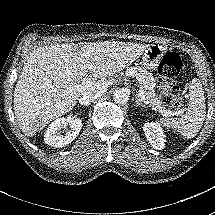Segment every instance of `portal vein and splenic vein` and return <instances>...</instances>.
Here are the masks:
<instances>
[{
    "label": "portal vein and splenic vein",
    "instance_id": "obj_1",
    "mask_svg": "<svg viewBox=\"0 0 215 215\" xmlns=\"http://www.w3.org/2000/svg\"><path fill=\"white\" fill-rule=\"evenodd\" d=\"M125 75H126V76H133V75H134V72H132V71H126ZM137 80L140 81V78L137 79ZM83 83H84V87H89V86L91 87V86H94V87H96L97 89H99V88L106 89L107 86L113 84L111 81H103V82L99 83V82H96V81H95L93 78H91V77H87L86 79H84V80H83ZM140 84H141V83H140ZM79 88H80V89H83L82 86L79 87ZM138 95L141 97V99H143V100L145 99V93H144V90H143V88L141 87V85H140V89H139V94H138ZM145 103H147V102L145 101ZM162 113H163V115H165V116L172 115V112H171L170 110H163Z\"/></svg>",
    "mask_w": 215,
    "mask_h": 215
}]
</instances>
